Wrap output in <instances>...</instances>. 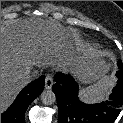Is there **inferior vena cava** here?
Returning <instances> with one entry per match:
<instances>
[{
  "mask_svg": "<svg viewBox=\"0 0 123 123\" xmlns=\"http://www.w3.org/2000/svg\"><path fill=\"white\" fill-rule=\"evenodd\" d=\"M23 78L30 81L33 78V76L31 75V71L30 70L25 71L23 74Z\"/></svg>",
  "mask_w": 123,
  "mask_h": 123,
  "instance_id": "1",
  "label": "inferior vena cava"
}]
</instances>
